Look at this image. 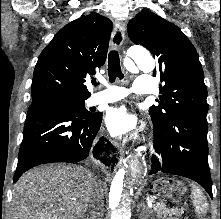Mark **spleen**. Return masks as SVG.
<instances>
[{"mask_svg":"<svg viewBox=\"0 0 221 219\" xmlns=\"http://www.w3.org/2000/svg\"><path fill=\"white\" fill-rule=\"evenodd\" d=\"M192 195L196 213L200 215L205 214L208 210V203L202 191L197 186L193 185Z\"/></svg>","mask_w":221,"mask_h":219,"instance_id":"spleen-1","label":"spleen"}]
</instances>
